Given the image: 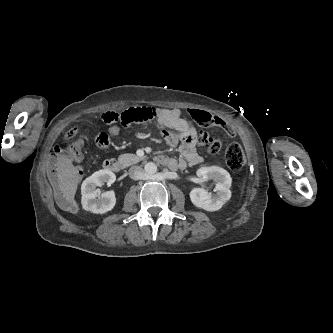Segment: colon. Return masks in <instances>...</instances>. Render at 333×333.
Returning a JSON list of instances; mask_svg holds the SVG:
<instances>
[{"label": "colon", "mask_w": 333, "mask_h": 333, "mask_svg": "<svg viewBox=\"0 0 333 333\" xmlns=\"http://www.w3.org/2000/svg\"><path fill=\"white\" fill-rule=\"evenodd\" d=\"M158 110L151 106L147 107H129L126 111L122 113L116 112H105L102 115V120L105 123H121V124H138L139 122L151 121L158 117ZM79 135L78 128L70 129L66 134V141L69 143L65 152L78 156L82 149V144L80 140L77 139ZM197 141L203 146L209 154L217 153L221 148V141L218 138L210 136L207 132L200 130L197 133ZM95 144L99 148H107L110 144V138L107 134L102 133L98 135L95 139ZM63 150L59 147H55V152L60 153ZM225 160L227 166L232 171H239L243 168L245 164V155L240 144L232 143L225 151Z\"/></svg>", "instance_id": "obj_1"}]
</instances>
